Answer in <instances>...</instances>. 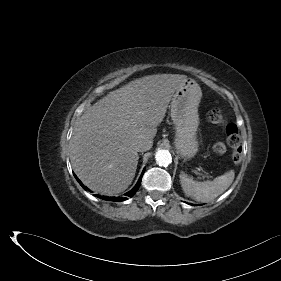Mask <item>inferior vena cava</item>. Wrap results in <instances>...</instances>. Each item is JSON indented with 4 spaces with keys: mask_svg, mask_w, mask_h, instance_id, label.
I'll use <instances>...</instances> for the list:
<instances>
[{
    "mask_svg": "<svg viewBox=\"0 0 281 281\" xmlns=\"http://www.w3.org/2000/svg\"><path fill=\"white\" fill-rule=\"evenodd\" d=\"M152 141L150 140H140L136 145V149L138 152H144L151 148Z\"/></svg>",
    "mask_w": 281,
    "mask_h": 281,
    "instance_id": "inferior-vena-cava-1",
    "label": "inferior vena cava"
}]
</instances>
